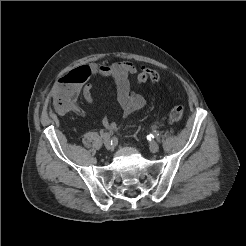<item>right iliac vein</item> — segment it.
<instances>
[{"label": "right iliac vein", "instance_id": "right-iliac-vein-1", "mask_svg": "<svg viewBox=\"0 0 246 246\" xmlns=\"http://www.w3.org/2000/svg\"><path fill=\"white\" fill-rule=\"evenodd\" d=\"M104 146L106 147V149L110 150L112 149L113 145H112V140H110L109 138L104 139Z\"/></svg>", "mask_w": 246, "mask_h": 246}]
</instances>
